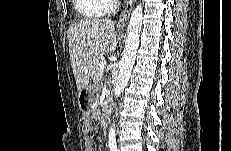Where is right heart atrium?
<instances>
[{
	"mask_svg": "<svg viewBox=\"0 0 231 151\" xmlns=\"http://www.w3.org/2000/svg\"><path fill=\"white\" fill-rule=\"evenodd\" d=\"M114 4H115L114 1H110L109 2V4H108V11H111L114 8Z\"/></svg>",
	"mask_w": 231,
	"mask_h": 151,
	"instance_id": "d8ad5b80",
	"label": "right heart atrium"
}]
</instances>
